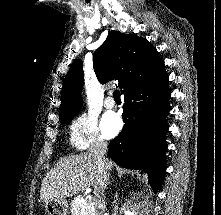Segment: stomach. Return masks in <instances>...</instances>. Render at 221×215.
I'll use <instances>...</instances> for the list:
<instances>
[{
	"label": "stomach",
	"mask_w": 221,
	"mask_h": 215,
	"mask_svg": "<svg viewBox=\"0 0 221 215\" xmlns=\"http://www.w3.org/2000/svg\"><path fill=\"white\" fill-rule=\"evenodd\" d=\"M45 210L49 215H68L69 206L64 199H54L45 203Z\"/></svg>",
	"instance_id": "0dacf381"
}]
</instances>
